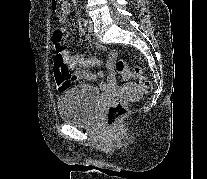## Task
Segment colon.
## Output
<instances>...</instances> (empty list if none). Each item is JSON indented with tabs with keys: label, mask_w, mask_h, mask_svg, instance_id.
Listing matches in <instances>:
<instances>
[{
	"label": "colon",
	"mask_w": 207,
	"mask_h": 179,
	"mask_svg": "<svg viewBox=\"0 0 207 179\" xmlns=\"http://www.w3.org/2000/svg\"><path fill=\"white\" fill-rule=\"evenodd\" d=\"M52 9L54 13L61 17L64 16L68 10L66 0H52ZM52 41L54 44V71L57 78L58 86L61 89L70 87L69 81V67L62 50V33L56 29L52 34ZM116 69L121 74L123 80H129L132 77L138 78L142 92H149L152 89L151 82L142 75V69L134 68L132 71L128 69L123 60L116 63ZM127 115V104L124 101H119L113 104L107 114L106 122L109 126H115Z\"/></svg>",
	"instance_id": "1"
}]
</instances>
